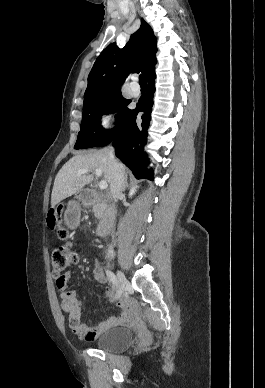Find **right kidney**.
Wrapping results in <instances>:
<instances>
[{"label":"right kidney","mask_w":265,"mask_h":388,"mask_svg":"<svg viewBox=\"0 0 265 388\" xmlns=\"http://www.w3.org/2000/svg\"><path fill=\"white\" fill-rule=\"evenodd\" d=\"M136 188H138V186H136ZM136 188H132V190H130L129 192V198H132V196H134L135 192H136Z\"/></svg>","instance_id":"ca27d5eb"}]
</instances>
